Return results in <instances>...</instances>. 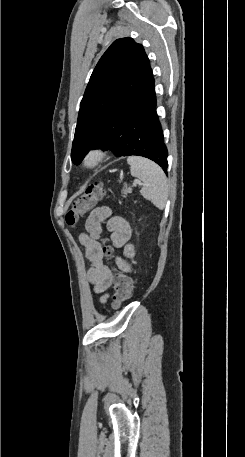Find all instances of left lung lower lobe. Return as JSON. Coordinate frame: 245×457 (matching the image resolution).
<instances>
[{
	"instance_id": "0a47b994",
	"label": "left lung lower lobe",
	"mask_w": 245,
	"mask_h": 457,
	"mask_svg": "<svg viewBox=\"0 0 245 457\" xmlns=\"http://www.w3.org/2000/svg\"><path fill=\"white\" fill-rule=\"evenodd\" d=\"M156 105L153 88L141 108L122 113L110 125L88 139L75 164H79L91 149H112L117 157L137 155L149 158L167 173L168 153Z\"/></svg>"
}]
</instances>
